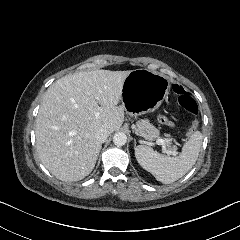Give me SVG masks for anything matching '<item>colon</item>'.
Instances as JSON below:
<instances>
[{"instance_id": "obj_1", "label": "colon", "mask_w": 240, "mask_h": 240, "mask_svg": "<svg viewBox=\"0 0 240 240\" xmlns=\"http://www.w3.org/2000/svg\"><path fill=\"white\" fill-rule=\"evenodd\" d=\"M183 90V88H181ZM181 96L178 99V104L184 108L189 114L194 116V120L192 125H190V128L186 129V133L190 134L191 132H195L196 129H198V120L196 119V115L198 113V107L196 103L193 101V99L189 98L186 95H179ZM159 121H162V125L168 126V128H173V119H167V116H159ZM189 136V135H188Z\"/></svg>"}]
</instances>
